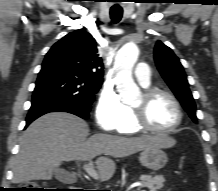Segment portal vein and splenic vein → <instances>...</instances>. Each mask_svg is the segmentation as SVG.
<instances>
[{"instance_id": "18ae733b", "label": "portal vein and splenic vein", "mask_w": 218, "mask_h": 191, "mask_svg": "<svg viewBox=\"0 0 218 191\" xmlns=\"http://www.w3.org/2000/svg\"><path fill=\"white\" fill-rule=\"evenodd\" d=\"M84 170L87 172L88 175H90L94 179H98V173L96 172L92 162L90 161L89 163L84 164L83 166ZM136 186H141V184H136ZM145 191V190H143Z\"/></svg>"}]
</instances>
